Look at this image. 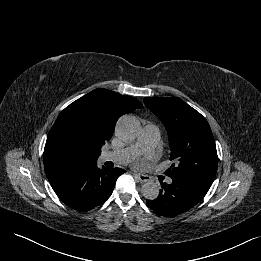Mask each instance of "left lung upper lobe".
<instances>
[{
	"instance_id": "obj_1",
	"label": "left lung upper lobe",
	"mask_w": 261,
	"mask_h": 261,
	"mask_svg": "<svg viewBox=\"0 0 261 261\" xmlns=\"http://www.w3.org/2000/svg\"><path fill=\"white\" fill-rule=\"evenodd\" d=\"M147 108L164 124L174 163L169 177L194 175L214 181L218 156L206 119L180 98H144Z\"/></svg>"
}]
</instances>
